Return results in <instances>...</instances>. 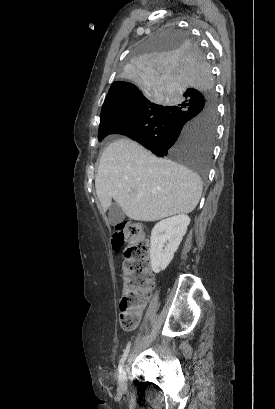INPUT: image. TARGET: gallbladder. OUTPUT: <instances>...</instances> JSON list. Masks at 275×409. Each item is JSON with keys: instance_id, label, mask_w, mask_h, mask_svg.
Wrapping results in <instances>:
<instances>
[{"instance_id": "gallbladder-1", "label": "gallbladder", "mask_w": 275, "mask_h": 409, "mask_svg": "<svg viewBox=\"0 0 275 409\" xmlns=\"http://www.w3.org/2000/svg\"><path fill=\"white\" fill-rule=\"evenodd\" d=\"M123 219H125V213H123L121 207L117 205V202H111V207H109L108 213V221L112 227L118 225V223H122Z\"/></svg>"}]
</instances>
